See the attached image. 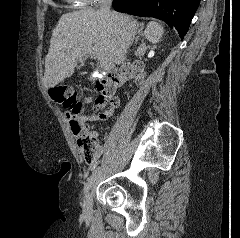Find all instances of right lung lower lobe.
<instances>
[{"instance_id": "obj_1", "label": "right lung lower lobe", "mask_w": 240, "mask_h": 238, "mask_svg": "<svg viewBox=\"0 0 240 238\" xmlns=\"http://www.w3.org/2000/svg\"><path fill=\"white\" fill-rule=\"evenodd\" d=\"M200 0H114L118 12L136 16H151L173 25L183 39Z\"/></svg>"}]
</instances>
